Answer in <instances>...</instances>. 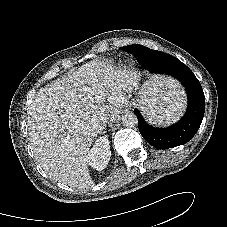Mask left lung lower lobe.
<instances>
[{"label": "left lung lower lobe", "instance_id": "obj_1", "mask_svg": "<svg viewBox=\"0 0 227 227\" xmlns=\"http://www.w3.org/2000/svg\"><path fill=\"white\" fill-rule=\"evenodd\" d=\"M142 69L152 73L168 74L178 79L185 87L188 96V107L185 115L168 128L156 129L148 125L137 109L138 128L142 137L158 149H167L187 143L198 131L205 111L203 89L193 72L178 59L167 60L164 53L142 45L129 49Z\"/></svg>", "mask_w": 227, "mask_h": 227}]
</instances>
